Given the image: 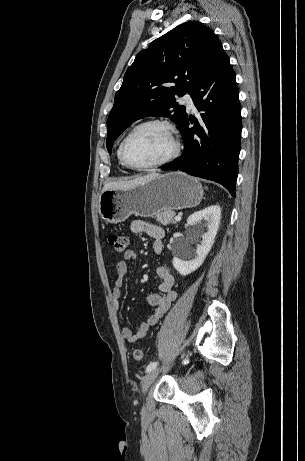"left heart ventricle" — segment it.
<instances>
[{"label": "left heart ventricle", "mask_w": 305, "mask_h": 461, "mask_svg": "<svg viewBox=\"0 0 305 461\" xmlns=\"http://www.w3.org/2000/svg\"><path fill=\"white\" fill-rule=\"evenodd\" d=\"M173 148L165 129L148 126L139 130L128 142L127 155L138 165L151 164L166 157Z\"/></svg>", "instance_id": "b2bd125f"}]
</instances>
